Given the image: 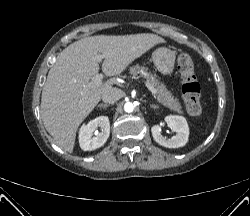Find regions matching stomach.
I'll use <instances>...</instances> for the list:
<instances>
[{
  "mask_svg": "<svg viewBox=\"0 0 250 216\" xmlns=\"http://www.w3.org/2000/svg\"><path fill=\"white\" fill-rule=\"evenodd\" d=\"M155 67L163 75H171L174 71L175 53L168 48H158L152 54Z\"/></svg>",
  "mask_w": 250,
  "mask_h": 216,
  "instance_id": "obj_1",
  "label": "stomach"
}]
</instances>
